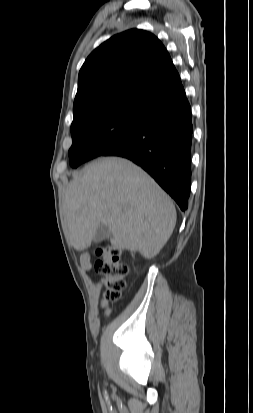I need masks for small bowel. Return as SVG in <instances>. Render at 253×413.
I'll list each match as a JSON object with an SVG mask.
<instances>
[{"label": "small bowel", "mask_w": 253, "mask_h": 413, "mask_svg": "<svg viewBox=\"0 0 253 413\" xmlns=\"http://www.w3.org/2000/svg\"><path fill=\"white\" fill-rule=\"evenodd\" d=\"M80 265L83 270L88 271L91 269V261L89 253H83L80 257Z\"/></svg>", "instance_id": "1"}]
</instances>
